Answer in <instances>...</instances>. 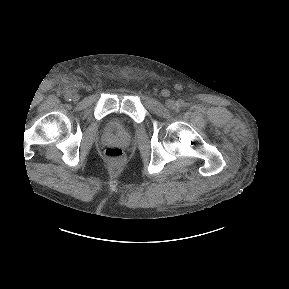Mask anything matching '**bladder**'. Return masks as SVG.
<instances>
[{
    "label": "bladder",
    "mask_w": 289,
    "mask_h": 289,
    "mask_svg": "<svg viewBox=\"0 0 289 289\" xmlns=\"http://www.w3.org/2000/svg\"><path fill=\"white\" fill-rule=\"evenodd\" d=\"M108 128L112 133H119L123 131V127L117 121H111Z\"/></svg>",
    "instance_id": "obj_1"
}]
</instances>
